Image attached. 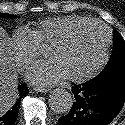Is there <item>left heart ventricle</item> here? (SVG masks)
<instances>
[{
	"label": "left heart ventricle",
	"mask_w": 125,
	"mask_h": 125,
	"mask_svg": "<svg viewBox=\"0 0 125 125\" xmlns=\"http://www.w3.org/2000/svg\"><path fill=\"white\" fill-rule=\"evenodd\" d=\"M104 45V30L91 24L78 29L64 44L50 49V54L61 62L69 76H77L98 63Z\"/></svg>",
	"instance_id": "obj_1"
}]
</instances>
